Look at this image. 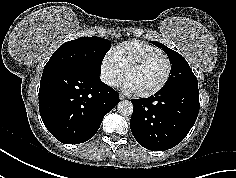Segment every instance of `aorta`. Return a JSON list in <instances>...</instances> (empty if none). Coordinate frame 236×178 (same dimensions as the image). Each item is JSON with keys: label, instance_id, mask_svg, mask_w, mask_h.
Wrapping results in <instances>:
<instances>
[{"label": "aorta", "instance_id": "obj_1", "mask_svg": "<svg viewBox=\"0 0 236 178\" xmlns=\"http://www.w3.org/2000/svg\"><path fill=\"white\" fill-rule=\"evenodd\" d=\"M117 109L119 114L130 116L133 113V104L128 100L120 101L117 105Z\"/></svg>", "mask_w": 236, "mask_h": 178}]
</instances>
